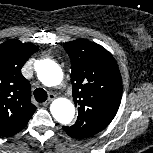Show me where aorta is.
Listing matches in <instances>:
<instances>
[{"label":"aorta","instance_id":"aorta-1","mask_svg":"<svg viewBox=\"0 0 153 153\" xmlns=\"http://www.w3.org/2000/svg\"><path fill=\"white\" fill-rule=\"evenodd\" d=\"M39 80L48 87H54L61 83L63 72L61 67L50 59L40 60L36 67ZM52 116L61 124H69L75 115L73 103L66 98L54 100L50 106Z\"/></svg>","mask_w":153,"mask_h":153}]
</instances>
